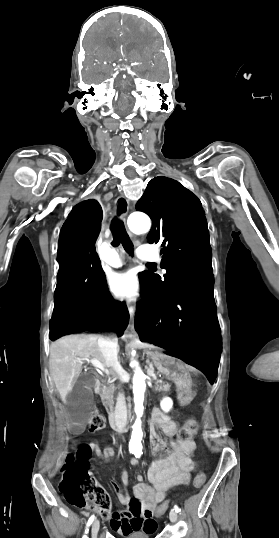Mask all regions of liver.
I'll return each instance as SVG.
<instances>
[{"instance_id": "liver-1", "label": "liver", "mask_w": 279, "mask_h": 538, "mask_svg": "<svg viewBox=\"0 0 279 538\" xmlns=\"http://www.w3.org/2000/svg\"><path fill=\"white\" fill-rule=\"evenodd\" d=\"M84 358H93L105 364L98 346V336L72 334L59 338L50 346L49 372L63 404H66V398L81 374Z\"/></svg>"}]
</instances>
